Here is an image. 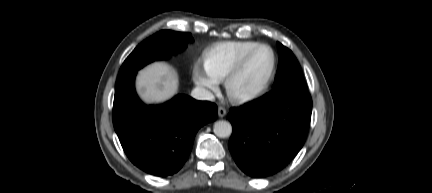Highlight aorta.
<instances>
[{
	"instance_id": "762f6f07",
	"label": "aorta",
	"mask_w": 432,
	"mask_h": 193,
	"mask_svg": "<svg viewBox=\"0 0 432 193\" xmlns=\"http://www.w3.org/2000/svg\"><path fill=\"white\" fill-rule=\"evenodd\" d=\"M213 131L216 136L226 138L232 133V125L225 120H219L214 123Z\"/></svg>"
}]
</instances>
